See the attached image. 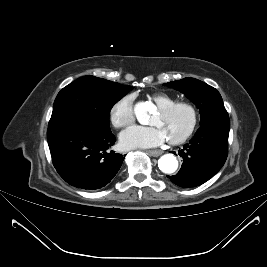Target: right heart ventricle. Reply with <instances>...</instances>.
Masks as SVG:
<instances>
[{
    "label": "right heart ventricle",
    "instance_id": "1",
    "mask_svg": "<svg viewBox=\"0 0 267 267\" xmlns=\"http://www.w3.org/2000/svg\"><path fill=\"white\" fill-rule=\"evenodd\" d=\"M151 100L158 108L170 105L176 102V99L165 93H154L151 95Z\"/></svg>",
    "mask_w": 267,
    "mask_h": 267
}]
</instances>
